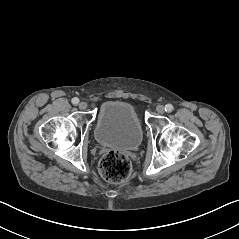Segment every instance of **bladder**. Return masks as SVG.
Instances as JSON below:
<instances>
[{
	"mask_svg": "<svg viewBox=\"0 0 239 239\" xmlns=\"http://www.w3.org/2000/svg\"><path fill=\"white\" fill-rule=\"evenodd\" d=\"M94 136L103 147L137 150L143 141V130L133 105L122 100L105 101L98 112Z\"/></svg>",
	"mask_w": 239,
	"mask_h": 239,
	"instance_id": "31cf9c89",
	"label": "bladder"
}]
</instances>
